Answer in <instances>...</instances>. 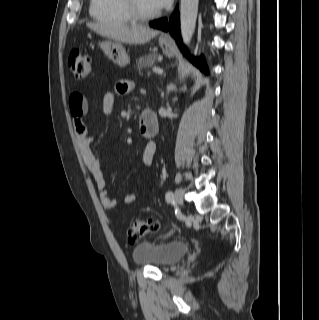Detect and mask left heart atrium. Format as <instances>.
Listing matches in <instances>:
<instances>
[{
  "mask_svg": "<svg viewBox=\"0 0 319 320\" xmlns=\"http://www.w3.org/2000/svg\"><path fill=\"white\" fill-rule=\"evenodd\" d=\"M151 1L157 9H164L170 5L172 0H151Z\"/></svg>",
  "mask_w": 319,
  "mask_h": 320,
  "instance_id": "obj_1",
  "label": "left heart atrium"
}]
</instances>
